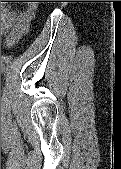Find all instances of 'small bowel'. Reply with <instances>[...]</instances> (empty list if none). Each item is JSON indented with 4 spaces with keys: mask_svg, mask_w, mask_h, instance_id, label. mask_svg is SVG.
I'll return each instance as SVG.
<instances>
[{
    "mask_svg": "<svg viewBox=\"0 0 121 169\" xmlns=\"http://www.w3.org/2000/svg\"><path fill=\"white\" fill-rule=\"evenodd\" d=\"M36 16L34 8L22 12L5 11L4 13V45L11 48L21 42L30 30L32 21Z\"/></svg>",
    "mask_w": 121,
    "mask_h": 169,
    "instance_id": "small-bowel-1",
    "label": "small bowel"
}]
</instances>
